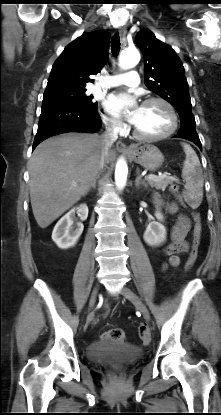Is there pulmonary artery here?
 Listing matches in <instances>:
<instances>
[{"mask_svg": "<svg viewBox=\"0 0 221 415\" xmlns=\"http://www.w3.org/2000/svg\"><path fill=\"white\" fill-rule=\"evenodd\" d=\"M140 83L139 75L136 71H130L124 74H118L106 78L99 87H116L120 85H126L129 87H137Z\"/></svg>", "mask_w": 221, "mask_h": 415, "instance_id": "1", "label": "pulmonary artery"}]
</instances>
